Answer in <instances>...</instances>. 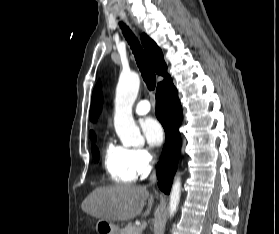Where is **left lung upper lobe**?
Segmentation results:
<instances>
[{
  "mask_svg": "<svg viewBox=\"0 0 279 234\" xmlns=\"http://www.w3.org/2000/svg\"><path fill=\"white\" fill-rule=\"evenodd\" d=\"M103 98H102V92H101V85L98 83L93 91L92 94V101H91V108H90V118L92 120H95L102 107Z\"/></svg>",
  "mask_w": 279,
  "mask_h": 234,
  "instance_id": "left-lung-upper-lobe-1",
  "label": "left lung upper lobe"
}]
</instances>
